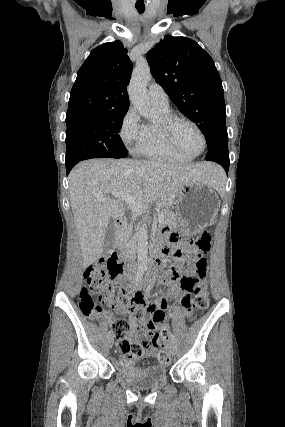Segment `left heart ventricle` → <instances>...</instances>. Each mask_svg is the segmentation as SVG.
I'll return each mask as SVG.
<instances>
[{
	"label": "left heart ventricle",
	"mask_w": 285,
	"mask_h": 427,
	"mask_svg": "<svg viewBox=\"0 0 285 427\" xmlns=\"http://www.w3.org/2000/svg\"><path fill=\"white\" fill-rule=\"evenodd\" d=\"M179 146L189 154H196L202 148V140L197 130L190 124L180 122L174 128Z\"/></svg>",
	"instance_id": "1"
}]
</instances>
